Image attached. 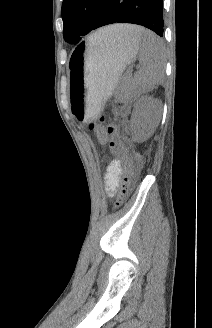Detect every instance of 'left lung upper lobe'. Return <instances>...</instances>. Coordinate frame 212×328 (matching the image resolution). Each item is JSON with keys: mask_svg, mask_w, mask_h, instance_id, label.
<instances>
[{"mask_svg": "<svg viewBox=\"0 0 212 328\" xmlns=\"http://www.w3.org/2000/svg\"><path fill=\"white\" fill-rule=\"evenodd\" d=\"M103 0H64L62 19L63 36L68 43H79L92 31Z\"/></svg>", "mask_w": 212, "mask_h": 328, "instance_id": "obj_1", "label": "left lung upper lobe"}]
</instances>
